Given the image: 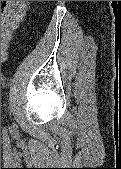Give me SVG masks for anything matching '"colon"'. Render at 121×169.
Returning a JSON list of instances; mask_svg holds the SVG:
<instances>
[{"instance_id": "1", "label": "colon", "mask_w": 121, "mask_h": 169, "mask_svg": "<svg viewBox=\"0 0 121 169\" xmlns=\"http://www.w3.org/2000/svg\"><path fill=\"white\" fill-rule=\"evenodd\" d=\"M28 1H3L1 7V59L5 60L15 32L23 21Z\"/></svg>"}]
</instances>
